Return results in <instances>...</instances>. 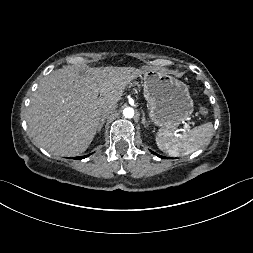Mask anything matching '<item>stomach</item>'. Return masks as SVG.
<instances>
[{
    "mask_svg": "<svg viewBox=\"0 0 253 253\" xmlns=\"http://www.w3.org/2000/svg\"><path fill=\"white\" fill-rule=\"evenodd\" d=\"M142 75L151 121L160 129H176L194 110L188 86L163 71L147 69Z\"/></svg>",
    "mask_w": 253,
    "mask_h": 253,
    "instance_id": "obj_1",
    "label": "stomach"
}]
</instances>
